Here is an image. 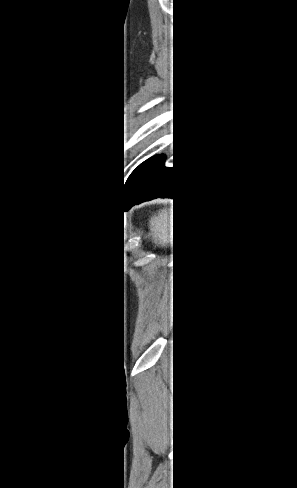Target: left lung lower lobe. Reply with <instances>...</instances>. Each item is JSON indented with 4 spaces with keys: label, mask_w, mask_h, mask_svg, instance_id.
<instances>
[{
    "label": "left lung lower lobe",
    "mask_w": 297,
    "mask_h": 488,
    "mask_svg": "<svg viewBox=\"0 0 297 488\" xmlns=\"http://www.w3.org/2000/svg\"><path fill=\"white\" fill-rule=\"evenodd\" d=\"M165 156L153 157L127 191L128 202L140 203L157 197H171L175 181L174 167L165 166ZM175 189L173 188V191Z\"/></svg>",
    "instance_id": "left-lung-lower-lobe-1"
}]
</instances>
